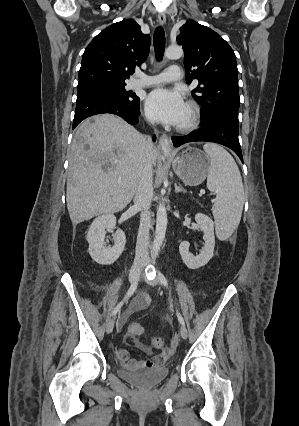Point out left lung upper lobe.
<instances>
[{"label":"left lung upper lobe","mask_w":299,"mask_h":426,"mask_svg":"<svg viewBox=\"0 0 299 426\" xmlns=\"http://www.w3.org/2000/svg\"><path fill=\"white\" fill-rule=\"evenodd\" d=\"M177 42L184 49L186 82L199 80L192 95L204 108L201 118L226 117L238 124V69L232 48L191 19L180 28Z\"/></svg>","instance_id":"left-lung-upper-lobe-1"}]
</instances>
